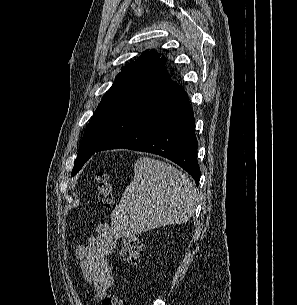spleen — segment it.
I'll return each mask as SVG.
<instances>
[{
	"label": "spleen",
	"instance_id": "obj_1",
	"mask_svg": "<svg viewBox=\"0 0 297 305\" xmlns=\"http://www.w3.org/2000/svg\"><path fill=\"white\" fill-rule=\"evenodd\" d=\"M196 189L174 166L149 157L134 164V178L111 214L116 236L186 223L194 212Z\"/></svg>",
	"mask_w": 297,
	"mask_h": 305
}]
</instances>
